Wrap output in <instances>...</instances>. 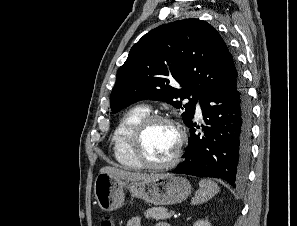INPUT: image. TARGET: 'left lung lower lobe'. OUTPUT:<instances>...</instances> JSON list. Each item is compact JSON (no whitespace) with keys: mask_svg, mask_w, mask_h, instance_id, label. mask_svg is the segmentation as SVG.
Returning a JSON list of instances; mask_svg holds the SVG:
<instances>
[{"mask_svg":"<svg viewBox=\"0 0 297 226\" xmlns=\"http://www.w3.org/2000/svg\"><path fill=\"white\" fill-rule=\"evenodd\" d=\"M199 101L207 126H196L190 120L185 160L172 172L221 178L233 187L240 186L247 178L252 118L244 84L241 80L233 88L207 89Z\"/></svg>","mask_w":297,"mask_h":226,"instance_id":"0a47b994","label":"left lung lower lobe"}]
</instances>
